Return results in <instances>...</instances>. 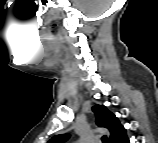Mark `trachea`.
<instances>
[{
    "mask_svg": "<svg viewBox=\"0 0 158 143\" xmlns=\"http://www.w3.org/2000/svg\"><path fill=\"white\" fill-rule=\"evenodd\" d=\"M102 142H103V143H107V142H108V140H107V137H106V136H103V137H102Z\"/></svg>",
    "mask_w": 158,
    "mask_h": 143,
    "instance_id": "trachea-1",
    "label": "trachea"
}]
</instances>
